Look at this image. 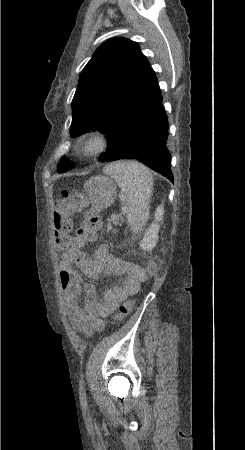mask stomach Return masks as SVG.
<instances>
[{
    "mask_svg": "<svg viewBox=\"0 0 245 450\" xmlns=\"http://www.w3.org/2000/svg\"><path fill=\"white\" fill-rule=\"evenodd\" d=\"M84 191L87 194L88 201L98 210L110 207L117 196V186L113 179L102 175L86 181Z\"/></svg>",
    "mask_w": 245,
    "mask_h": 450,
    "instance_id": "0dacf381",
    "label": "stomach"
}]
</instances>
